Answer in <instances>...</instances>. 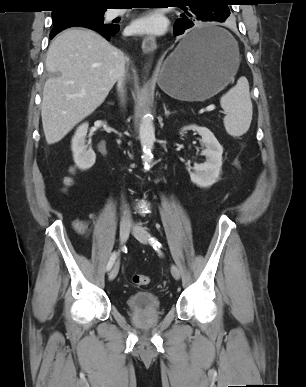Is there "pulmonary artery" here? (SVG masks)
<instances>
[{"label": "pulmonary artery", "mask_w": 306, "mask_h": 387, "mask_svg": "<svg viewBox=\"0 0 306 387\" xmlns=\"http://www.w3.org/2000/svg\"><path fill=\"white\" fill-rule=\"evenodd\" d=\"M125 11L126 10H124V9H113V10L109 11L108 16L110 18H114V17H117V16L123 14Z\"/></svg>", "instance_id": "e3ab8cb5"}]
</instances>
